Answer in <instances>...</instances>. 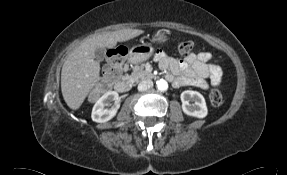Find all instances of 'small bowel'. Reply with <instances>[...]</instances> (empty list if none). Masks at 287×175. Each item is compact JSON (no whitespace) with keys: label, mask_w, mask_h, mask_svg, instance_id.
Returning <instances> with one entry per match:
<instances>
[{"label":"small bowel","mask_w":287,"mask_h":175,"mask_svg":"<svg viewBox=\"0 0 287 175\" xmlns=\"http://www.w3.org/2000/svg\"><path fill=\"white\" fill-rule=\"evenodd\" d=\"M155 59L162 70H168V78L176 87L195 86L202 89L208 87L206 78L211 77L213 82L220 79V69L209 63L211 54L200 52L191 54L184 59H175L162 51H158Z\"/></svg>","instance_id":"1"}]
</instances>
